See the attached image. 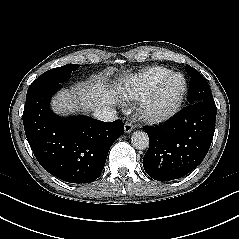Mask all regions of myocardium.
<instances>
[{"label":"myocardium","instance_id":"obj_1","mask_svg":"<svg viewBox=\"0 0 239 239\" xmlns=\"http://www.w3.org/2000/svg\"><path fill=\"white\" fill-rule=\"evenodd\" d=\"M173 78H180L182 81V85L178 94L174 97L172 102L166 108L155 109L152 105L155 96L160 92L163 86ZM186 93L187 81L184 75L178 72H170L166 76L156 81L139 100L137 115L142 121L151 124H159L166 122L176 116L181 110Z\"/></svg>","mask_w":239,"mask_h":239}]
</instances>
